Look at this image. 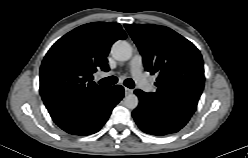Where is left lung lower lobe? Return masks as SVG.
<instances>
[{"label": "left lung lower lobe", "mask_w": 248, "mask_h": 158, "mask_svg": "<svg viewBox=\"0 0 248 158\" xmlns=\"http://www.w3.org/2000/svg\"><path fill=\"white\" fill-rule=\"evenodd\" d=\"M134 93L139 97L140 103L132 115L138 127L147 134L162 136L178 132L190 119L185 114L157 104L148 93L139 89Z\"/></svg>", "instance_id": "0a47b994"}]
</instances>
